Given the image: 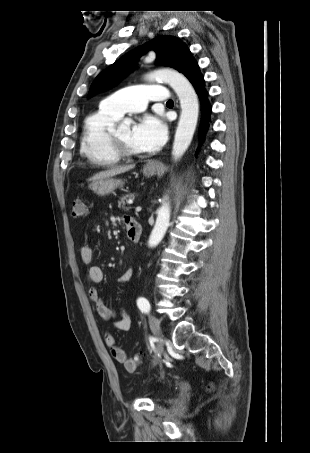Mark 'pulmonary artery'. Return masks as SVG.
I'll return each mask as SVG.
<instances>
[{"mask_svg":"<svg viewBox=\"0 0 310 453\" xmlns=\"http://www.w3.org/2000/svg\"><path fill=\"white\" fill-rule=\"evenodd\" d=\"M167 89L161 85H142L120 89L106 97L101 106L113 113L142 112L150 100L166 101Z\"/></svg>","mask_w":310,"mask_h":453,"instance_id":"pulmonary-artery-1","label":"pulmonary artery"}]
</instances>
